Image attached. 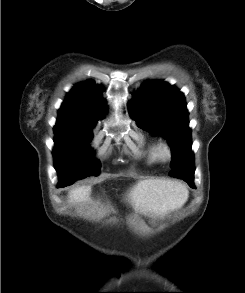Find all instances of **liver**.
Returning <instances> with one entry per match:
<instances>
[{
	"instance_id": "liver-1",
	"label": "liver",
	"mask_w": 245,
	"mask_h": 293,
	"mask_svg": "<svg viewBox=\"0 0 245 293\" xmlns=\"http://www.w3.org/2000/svg\"><path fill=\"white\" fill-rule=\"evenodd\" d=\"M90 192V186H77L69 191V201L74 203L87 201ZM128 197L137 212L164 215L180 209L188 199V191L176 181L149 179L137 182Z\"/></svg>"
}]
</instances>
